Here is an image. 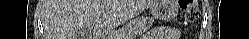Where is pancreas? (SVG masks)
Instances as JSON below:
<instances>
[{
  "label": "pancreas",
  "instance_id": "obj_1",
  "mask_svg": "<svg viewBox=\"0 0 249 39\" xmlns=\"http://www.w3.org/2000/svg\"><path fill=\"white\" fill-rule=\"evenodd\" d=\"M153 22L151 18H135L122 28L119 38L133 39L135 36H140L152 26Z\"/></svg>",
  "mask_w": 249,
  "mask_h": 39
}]
</instances>
